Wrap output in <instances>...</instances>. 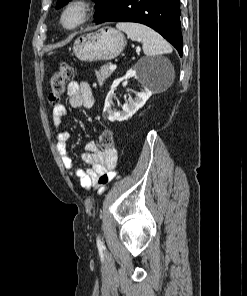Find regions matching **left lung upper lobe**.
<instances>
[{"mask_svg":"<svg viewBox=\"0 0 247 296\" xmlns=\"http://www.w3.org/2000/svg\"><path fill=\"white\" fill-rule=\"evenodd\" d=\"M70 0H58L57 2V8L63 6ZM96 2V12L94 14V17L97 18L104 10L107 9L109 4L111 3L112 0H94Z\"/></svg>","mask_w":247,"mask_h":296,"instance_id":"5c2ea615","label":"left lung upper lobe"}]
</instances>
